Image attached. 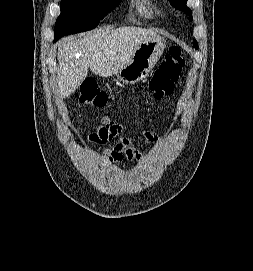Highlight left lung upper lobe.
Returning a JSON list of instances; mask_svg holds the SVG:
<instances>
[{
  "instance_id": "obj_1",
  "label": "left lung upper lobe",
  "mask_w": 253,
  "mask_h": 271,
  "mask_svg": "<svg viewBox=\"0 0 253 271\" xmlns=\"http://www.w3.org/2000/svg\"><path fill=\"white\" fill-rule=\"evenodd\" d=\"M186 3H187V0H171V4L173 7L189 14L190 15L189 20H192V11L190 10V8L186 6ZM193 47L198 49V44L196 41L194 42Z\"/></svg>"
}]
</instances>
